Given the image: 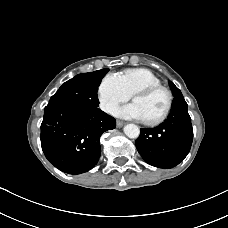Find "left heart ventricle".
I'll use <instances>...</instances> for the list:
<instances>
[{"label": "left heart ventricle", "instance_id": "1", "mask_svg": "<svg viewBox=\"0 0 228 228\" xmlns=\"http://www.w3.org/2000/svg\"><path fill=\"white\" fill-rule=\"evenodd\" d=\"M133 103L138 106L144 120L153 119L165 109L167 96L163 91H157L147 96H137Z\"/></svg>", "mask_w": 228, "mask_h": 228}]
</instances>
